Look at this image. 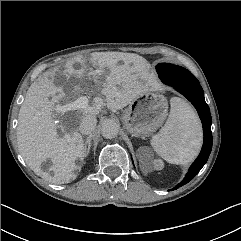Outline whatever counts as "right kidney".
<instances>
[{"instance_id":"right-kidney-1","label":"right kidney","mask_w":241,"mask_h":241,"mask_svg":"<svg viewBox=\"0 0 241 241\" xmlns=\"http://www.w3.org/2000/svg\"><path fill=\"white\" fill-rule=\"evenodd\" d=\"M34 171H38V168H34Z\"/></svg>"}]
</instances>
